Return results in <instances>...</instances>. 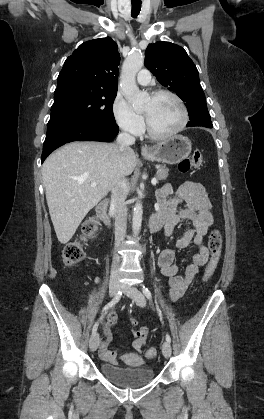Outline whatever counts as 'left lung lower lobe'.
Here are the masks:
<instances>
[{
    "label": "left lung lower lobe",
    "instance_id": "1",
    "mask_svg": "<svg viewBox=\"0 0 264 419\" xmlns=\"http://www.w3.org/2000/svg\"><path fill=\"white\" fill-rule=\"evenodd\" d=\"M190 121L188 122L187 126H202L207 128H212L213 125L211 123L210 116L205 115V112L197 115H189Z\"/></svg>",
    "mask_w": 264,
    "mask_h": 419
}]
</instances>
